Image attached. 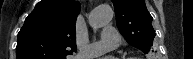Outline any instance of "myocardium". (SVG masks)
Here are the masks:
<instances>
[{"mask_svg":"<svg viewBox=\"0 0 193 59\" xmlns=\"http://www.w3.org/2000/svg\"><path fill=\"white\" fill-rule=\"evenodd\" d=\"M124 59H140V58H137V57H126Z\"/></svg>","mask_w":193,"mask_h":59,"instance_id":"myocardium-1","label":"myocardium"}]
</instances>
